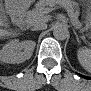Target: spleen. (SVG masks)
<instances>
[{"mask_svg":"<svg viewBox=\"0 0 91 91\" xmlns=\"http://www.w3.org/2000/svg\"><path fill=\"white\" fill-rule=\"evenodd\" d=\"M77 57L80 64L86 69L90 70L91 68V50L89 48H80L77 51Z\"/></svg>","mask_w":91,"mask_h":91,"instance_id":"obj_1","label":"spleen"}]
</instances>
